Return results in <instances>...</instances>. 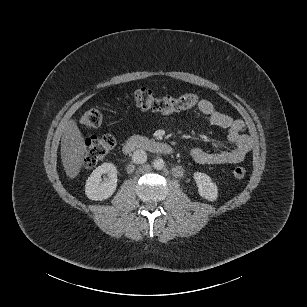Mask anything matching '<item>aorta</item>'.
<instances>
[{
    "instance_id": "obj_1",
    "label": "aorta",
    "mask_w": 307,
    "mask_h": 307,
    "mask_svg": "<svg viewBox=\"0 0 307 307\" xmlns=\"http://www.w3.org/2000/svg\"><path fill=\"white\" fill-rule=\"evenodd\" d=\"M164 166H165V162L162 159H156L153 162V167L156 170H162L164 168Z\"/></svg>"
}]
</instances>
